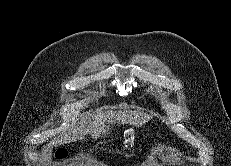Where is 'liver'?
<instances>
[{
	"instance_id": "liver-1",
	"label": "liver",
	"mask_w": 231,
	"mask_h": 166,
	"mask_svg": "<svg viewBox=\"0 0 231 166\" xmlns=\"http://www.w3.org/2000/svg\"><path fill=\"white\" fill-rule=\"evenodd\" d=\"M151 119L152 116L149 114L131 110L121 112H99L93 115L92 121L84 118L77 119L76 123L68 128L67 131H63L59 137L53 139L46 145L42 151V158L43 160L49 159L54 146H60L84 139L88 133L93 138L106 135L115 123L140 127Z\"/></svg>"
}]
</instances>
